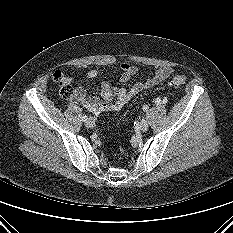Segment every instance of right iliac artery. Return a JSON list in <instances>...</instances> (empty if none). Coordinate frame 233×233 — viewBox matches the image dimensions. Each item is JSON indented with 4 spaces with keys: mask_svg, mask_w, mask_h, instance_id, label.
<instances>
[{
    "mask_svg": "<svg viewBox=\"0 0 233 233\" xmlns=\"http://www.w3.org/2000/svg\"><path fill=\"white\" fill-rule=\"evenodd\" d=\"M87 120V116H82V121H86Z\"/></svg>",
    "mask_w": 233,
    "mask_h": 233,
    "instance_id": "1",
    "label": "right iliac artery"
}]
</instances>
